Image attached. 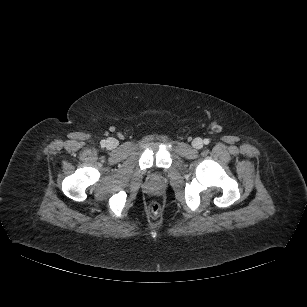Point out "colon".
I'll return each instance as SVG.
<instances>
[{
    "mask_svg": "<svg viewBox=\"0 0 307 307\" xmlns=\"http://www.w3.org/2000/svg\"><path fill=\"white\" fill-rule=\"evenodd\" d=\"M149 209H150V212L153 214V215H156L159 213L160 211V205L156 202L154 203H151L150 206H149Z\"/></svg>",
    "mask_w": 307,
    "mask_h": 307,
    "instance_id": "5ec220e1",
    "label": "colon"
}]
</instances>
